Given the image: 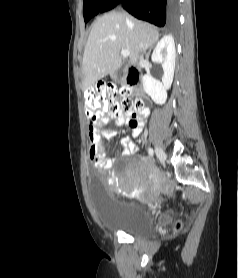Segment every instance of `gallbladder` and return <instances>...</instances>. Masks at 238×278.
Wrapping results in <instances>:
<instances>
[{"instance_id":"1","label":"gallbladder","mask_w":238,"mask_h":278,"mask_svg":"<svg viewBox=\"0 0 238 278\" xmlns=\"http://www.w3.org/2000/svg\"><path fill=\"white\" fill-rule=\"evenodd\" d=\"M124 68H125V65H122V67L117 71L115 81H117V82L121 81Z\"/></svg>"}]
</instances>
